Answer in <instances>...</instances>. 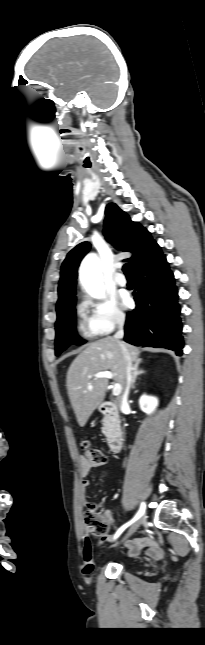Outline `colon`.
Returning a JSON list of instances; mask_svg holds the SVG:
<instances>
[{"instance_id": "obj_1", "label": "colon", "mask_w": 205, "mask_h": 645, "mask_svg": "<svg viewBox=\"0 0 205 645\" xmlns=\"http://www.w3.org/2000/svg\"><path fill=\"white\" fill-rule=\"evenodd\" d=\"M81 448L84 458L93 468H98L106 463V456L102 451L90 445L89 442L83 441ZM84 524L87 531L96 538H104L108 532V524L104 516L98 511L95 503L87 502L84 510Z\"/></svg>"}]
</instances>
